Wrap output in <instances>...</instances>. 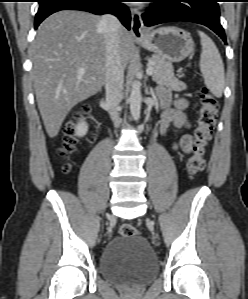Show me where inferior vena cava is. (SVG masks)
<instances>
[{"label":"inferior vena cava","mask_w":248,"mask_h":299,"mask_svg":"<svg viewBox=\"0 0 248 299\" xmlns=\"http://www.w3.org/2000/svg\"><path fill=\"white\" fill-rule=\"evenodd\" d=\"M119 20L110 14L103 15L98 27L102 30L105 39L106 76L105 90L106 103L109 114L115 126H119V104L123 98L124 69L121 63L119 50Z\"/></svg>","instance_id":"602c4592"}]
</instances>
